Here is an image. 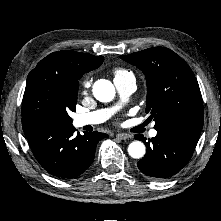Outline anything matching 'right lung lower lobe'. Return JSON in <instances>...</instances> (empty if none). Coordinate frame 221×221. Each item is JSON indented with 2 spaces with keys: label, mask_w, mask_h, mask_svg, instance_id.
I'll list each match as a JSON object with an SVG mask.
<instances>
[{
  "label": "right lung lower lobe",
  "mask_w": 221,
  "mask_h": 221,
  "mask_svg": "<svg viewBox=\"0 0 221 221\" xmlns=\"http://www.w3.org/2000/svg\"><path fill=\"white\" fill-rule=\"evenodd\" d=\"M24 134L37 161L50 174L71 179L94 161L97 143L108 135L94 131L80 135L73 125L49 121L22 122Z\"/></svg>",
  "instance_id": "right-lung-lower-lobe-1"
}]
</instances>
